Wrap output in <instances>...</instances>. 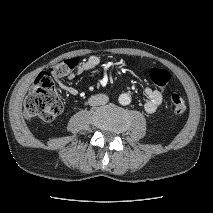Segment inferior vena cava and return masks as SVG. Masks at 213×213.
Segmentation results:
<instances>
[{"label": "inferior vena cava", "mask_w": 213, "mask_h": 213, "mask_svg": "<svg viewBox=\"0 0 213 213\" xmlns=\"http://www.w3.org/2000/svg\"><path fill=\"white\" fill-rule=\"evenodd\" d=\"M109 101V98L105 94H97L94 96H91L88 100L89 105L91 106H98V105H104Z\"/></svg>", "instance_id": "1"}]
</instances>
